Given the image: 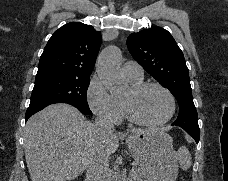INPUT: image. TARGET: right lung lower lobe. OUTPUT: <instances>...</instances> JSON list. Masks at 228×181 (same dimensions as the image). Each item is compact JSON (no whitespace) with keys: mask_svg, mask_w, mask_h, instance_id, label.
I'll return each mask as SVG.
<instances>
[{"mask_svg":"<svg viewBox=\"0 0 228 181\" xmlns=\"http://www.w3.org/2000/svg\"><path fill=\"white\" fill-rule=\"evenodd\" d=\"M48 106V105H46ZM46 106H36V107H29L26 111V115H25V119L28 120V118L30 116H32L34 113L42 110L43 108H45Z\"/></svg>","mask_w":228,"mask_h":181,"instance_id":"1","label":"right lung lower lobe"}]
</instances>
